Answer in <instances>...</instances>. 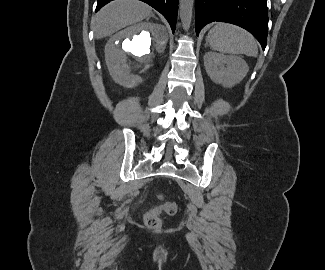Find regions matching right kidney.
Masks as SVG:
<instances>
[{"label": "right kidney", "mask_w": 325, "mask_h": 270, "mask_svg": "<svg viewBox=\"0 0 325 270\" xmlns=\"http://www.w3.org/2000/svg\"><path fill=\"white\" fill-rule=\"evenodd\" d=\"M167 41L165 27L150 22L116 33L105 46V61L113 80L124 87L143 83L155 65L156 53H163Z\"/></svg>", "instance_id": "right-kidney-1"}]
</instances>
